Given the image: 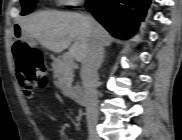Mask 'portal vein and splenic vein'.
Masks as SVG:
<instances>
[{
  "mask_svg": "<svg viewBox=\"0 0 182 140\" xmlns=\"http://www.w3.org/2000/svg\"><path fill=\"white\" fill-rule=\"evenodd\" d=\"M67 62H71L73 60V56L70 53H67L64 58Z\"/></svg>",
  "mask_w": 182,
  "mask_h": 140,
  "instance_id": "18ae733b",
  "label": "portal vein and splenic vein"
}]
</instances>
